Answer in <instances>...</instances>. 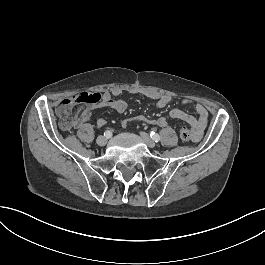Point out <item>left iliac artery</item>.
Wrapping results in <instances>:
<instances>
[{
    "label": "left iliac artery",
    "instance_id": "1",
    "mask_svg": "<svg viewBox=\"0 0 265 265\" xmlns=\"http://www.w3.org/2000/svg\"><path fill=\"white\" fill-rule=\"evenodd\" d=\"M150 136L155 142L160 141V136L157 133H155L154 131L150 132Z\"/></svg>",
    "mask_w": 265,
    "mask_h": 265
}]
</instances>
